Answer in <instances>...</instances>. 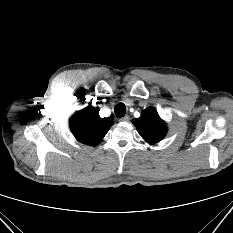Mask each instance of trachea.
<instances>
[{"label": "trachea", "instance_id": "trachea-1", "mask_svg": "<svg viewBox=\"0 0 233 233\" xmlns=\"http://www.w3.org/2000/svg\"><path fill=\"white\" fill-rule=\"evenodd\" d=\"M114 112L118 118H121L126 113V106L123 103H118L114 107Z\"/></svg>", "mask_w": 233, "mask_h": 233}]
</instances>
